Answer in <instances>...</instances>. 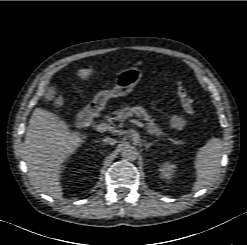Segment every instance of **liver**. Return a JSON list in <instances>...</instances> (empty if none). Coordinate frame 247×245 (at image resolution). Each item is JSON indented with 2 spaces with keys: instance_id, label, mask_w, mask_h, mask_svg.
Masks as SVG:
<instances>
[{
  "instance_id": "liver-1",
  "label": "liver",
  "mask_w": 247,
  "mask_h": 245,
  "mask_svg": "<svg viewBox=\"0 0 247 245\" xmlns=\"http://www.w3.org/2000/svg\"><path fill=\"white\" fill-rule=\"evenodd\" d=\"M92 69H81L76 75L87 80ZM86 136L73 132L53 113L36 108L29 121L24 142V159L32 184L42 192L61 199L60 184L63 163L85 141Z\"/></svg>"
}]
</instances>
